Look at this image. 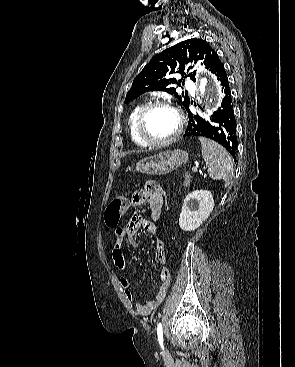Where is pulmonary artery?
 <instances>
[{
    "label": "pulmonary artery",
    "mask_w": 295,
    "mask_h": 367,
    "mask_svg": "<svg viewBox=\"0 0 295 367\" xmlns=\"http://www.w3.org/2000/svg\"><path fill=\"white\" fill-rule=\"evenodd\" d=\"M185 86H186L187 89H189L191 91L194 90V85H193V83L190 80H186Z\"/></svg>",
    "instance_id": "pulmonary-artery-1"
}]
</instances>
